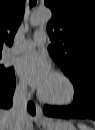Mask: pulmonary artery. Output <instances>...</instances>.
Here are the masks:
<instances>
[{"label": "pulmonary artery", "mask_w": 95, "mask_h": 130, "mask_svg": "<svg viewBox=\"0 0 95 130\" xmlns=\"http://www.w3.org/2000/svg\"><path fill=\"white\" fill-rule=\"evenodd\" d=\"M47 41V34L44 31H36L33 39H27L19 45L11 49L12 53L27 52L32 50L37 45H43Z\"/></svg>", "instance_id": "e3ab8cb5"}]
</instances>
